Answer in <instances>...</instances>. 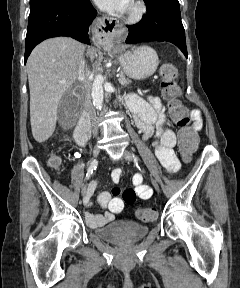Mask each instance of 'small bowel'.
Returning <instances> with one entry per match:
<instances>
[{
    "label": "small bowel",
    "mask_w": 240,
    "mask_h": 288,
    "mask_svg": "<svg viewBox=\"0 0 240 288\" xmlns=\"http://www.w3.org/2000/svg\"><path fill=\"white\" fill-rule=\"evenodd\" d=\"M126 105L133 113L134 121L137 128L143 135V140L147 141L155 136L156 141L152 146L156 157L162 166L169 173H175L180 168V162L175 155L174 147L176 144L175 133L167 126V117L164 105L159 97L148 96L146 99L136 94L126 96ZM193 121L192 128L198 132L202 128V119L198 110L190 112ZM122 171L116 168L112 171L111 178L114 183H118L121 178ZM135 192L139 198L147 200L152 195L150 186L144 183L140 174H135L132 179ZM96 188V183L91 184L86 196L85 204L90 205L89 199ZM120 189L115 187L111 193L102 192L98 196V202L105 209L104 214H95L87 212L85 214L86 222L91 227H99L105 223L112 221L114 215L121 212L124 207L123 200L119 197Z\"/></svg>",
    "instance_id": "small-bowel-1"
}]
</instances>
